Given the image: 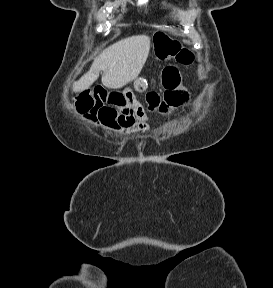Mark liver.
I'll use <instances>...</instances> for the list:
<instances>
[{"instance_id": "obj_1", "label": "liver", "mask_w": 273, "mask_h": 288, "mask_svg": "<svg viewBox=\"0 0 273 288\" xmlns=\"http://www.w3.org/2000/svg\"><path fill=\"white\" fill-rule=\"evenodd\" d=\"M150 51V37L136 35L120 40L107 47L94 59L89 71L73 84V92H82L91 87L103 71L102 84L119 89L140 74Z\"/></svg>"}]
</instances>
